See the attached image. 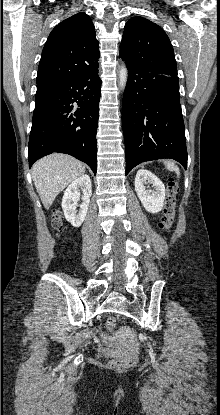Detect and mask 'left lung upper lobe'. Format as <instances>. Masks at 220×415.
Segmentation results:
<instances>
[{
  "label": "left lung upper lobe",
  "mask_w": 220,
  "mask_h": 415,
  "mask_svg": "<svg viewBox=\"0 0 220 415\" xmlns=\"http://www.w3.org/2000/svg\"><path fill=\"white\" fill-rule=\"evenodd\" d=\"M119 55L129 65L177 75L174 50L168 36L146 18L133 17L125 24Z\"/></svg>",
  "instance_id": "obj_1"
}]
</instances>
